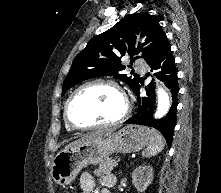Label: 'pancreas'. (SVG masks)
Returning a JSON list of instances; mask_svg holds the SVG:
<instances>
[{
  "mask_svg": "<svg viewBox=\"0 0 221 193\" xmlns=\"http://www.w3.org/2000/svg\"><path fill=\"white\" fill-rule=\"evenodd\" d=\"M115 159L108 158L99 164V167L94 171L96 176L109 175L114 168Z\"/></svg>",
  "mask_w": 221,
  "mask_h": 193,
  "instance_id": "1",
  "label": "pancreas"
}]
</instances>
